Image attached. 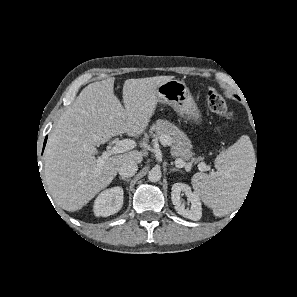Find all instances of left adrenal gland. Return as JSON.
Returning a JSON list of instances; mask_svg holds the SVG:
<instances>
[{
  "mask_svg": "<svg viewBox=\"0 0 297 297\" xmlns=\"http://www.w3.org/2000/svg\"><path fill=\"white\" fill-rule=\"evenodd\" d=\"M171 171H180L178 168H171Z\"/></svg>",
  "mask_w": 297,
  "mask_h": 297,
  "instance_id": "1",
  "label": "left adrenal gland"
}]
</instances>
